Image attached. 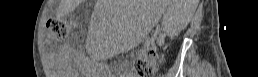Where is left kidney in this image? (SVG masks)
Returning a JSON list of instances; mask_svg holds the SVG:
<instances>
[{"label": "left kidney", "instance_id": "obj_1", "mask_svg": "<svg viewBox=\"0 0 258 77\" xmlns=\"http://www.w3.org/2000/svg\"><path fill=\"white\" fill-rule=\"evenodd\" d=\"M197 2L198 0H188L187 7L181 8L178 6L172 8L169 11L167 20L171 21L173 24L177 23L179 27H185L195 12Z\"/></svg>", "mask_w": 258, "mask_h": 77}]
</instances>
